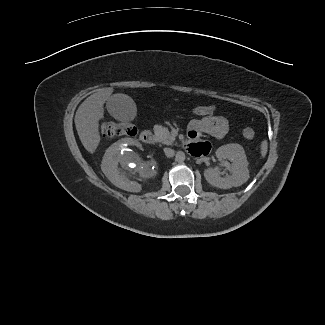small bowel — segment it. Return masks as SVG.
<instances>
[{"label":"small bowel","instance_id":"small-bowel-1","mask_svg":"<svg viewBox=\"0 0 325 325\" xmlns=\"http://www.w3.org/2000/svg\"><path fill=\"white\" fill-rule=\"evenodd\" d=\"M228 124L222 116L198 117L192 120L188 128L191 141L187 145L188 152L194 157H201L209 153L211 144L208 140L200 139L202 133L209 134L215 139H222L227 134Z\"/></svg>","mask_w":325,"mask_h":325}]
</instances>
